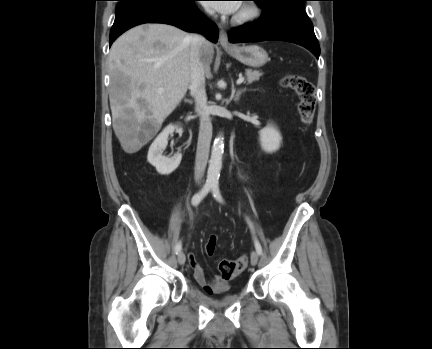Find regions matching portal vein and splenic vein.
<instances>
[{
    "mask_svg": "<svg viewBox=\"0 0 432 349\" xmlns=\"http://www.w3.org/2000/svg\"><path fill=\"white\" fill-rule=\"evenodd\" d=\"M244 81V77H239L236 83L239 85Z\"/></svg>",
    "mask_w": 432,
    "mask_h": 349,
    "instance_id": "obj_1",
    "label": "portal vein and splenic vein"
}]
</instances>
